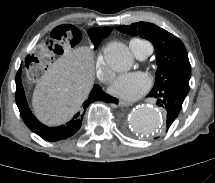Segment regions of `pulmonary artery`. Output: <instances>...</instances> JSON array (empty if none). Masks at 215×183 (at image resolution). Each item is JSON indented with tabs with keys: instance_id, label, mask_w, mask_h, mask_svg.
I'll return each instance as SVG.
<instances>
[{
	"instance_id": "e3ab8cb5",
	"label": "pulmonary artery",
	"mask_w": 215,
	"mask_h": 183,
	"mask_svg": "<svg viewBox=\"0 0 215 183\" xmlns=\"http://www.w3.org/2000/svg\"><path fill=\"white\" fill-rule=\"evenodd\" d=\"M130 48L134 55L140 60L146 59L153 51V47L149 42L143 40L139 41V39L132 40L130 42Z\"/></svg>"
}]
</instances>
